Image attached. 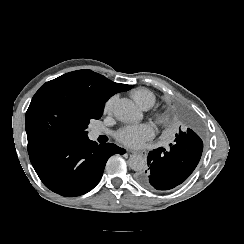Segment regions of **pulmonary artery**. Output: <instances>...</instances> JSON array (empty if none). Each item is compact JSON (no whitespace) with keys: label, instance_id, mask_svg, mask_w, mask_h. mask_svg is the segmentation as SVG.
<instances>
[{"label":"pulmonary artery","instance_id":"1","mask_svg":"<svg viewBox=\"0 0 244 244\" xmlns=\"http://www.w3.org/2000/svg\"><path fill=\"white\" fill-rule=\"evenodd\" d=\"M99 134H100V132H99L98 130H93V131L90 133V137H91V138H96Z\"/></svg>","mask_w":244,"mask_h":244}]
</instances>
